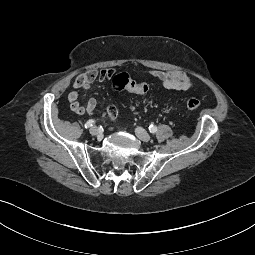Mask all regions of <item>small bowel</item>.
I'll return each mask as SVG.
<instances>
[{
	"label": "small bowel",
	"instance_id": "1",
	"mask_svg": "<svg viewBox=\"0 0 255 255\" xmlns=\"http://www.w3.org/2000/svg\"><path fill=\"white\" fill-rule=\"evenodd\" d=\"M114 74V70L110 68L104 69H90L86 72L81 73L76 77L73 82V88L68 94V100L70 102L71 110L78 114H91L96 106L97 101L95 98H90L86 105H82L79 102V89H88L90 86L96 82H104L109 80ZM149 74L158 79L161 85L165 89L186 91L194 86L193 79L187 74L179 71H163V70H150ZM116 114V109L113 105H110L107 109L108 118H113Z\"/></svg>",
	"mask_w": 255,
	"mask_h": 255
}]
</instances>
